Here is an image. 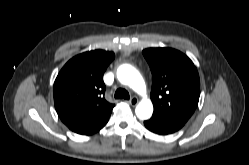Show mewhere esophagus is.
<instances>
[{
  "label": "esophagus",
  "instance_id": "obj_1",
  "mask_svg": "<svg viewBox=\"0 0 249 165\" xmlns=\"http://www.w3.org/2000/svg\"><path fill=\"white\" fill-rule=\"evenodd\" d=\"M138 98L137 97H132L128 102L132 106H136L138 104Z\"/></svg>",
  "mask_w": 249,
  "mask_h": 165
}]
</instances>
